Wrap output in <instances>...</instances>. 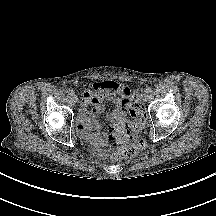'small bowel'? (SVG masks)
<instances>
[{
	"label": "small bowel",
	"mask_w": 216,
	"mask_h": 216,
	"mask_svg": "<svg viewBox=\"0 0 216 216\" xmlns=\"http://www.w3.org/2000/svg\"><path fill=\"white\" fill-rule=\"evenodd\" d=\"M128 86L115 82L105 81L94 83L83 94L78 114V132L94 146L100 147L105 143V136L95 116L105 109L104 101L115 103L113 112L108 116L109 121L123 118L126 115V106L130 96Z\"/></svg>",
	"instance_id": "c3829d8e"
}]
</instances>
